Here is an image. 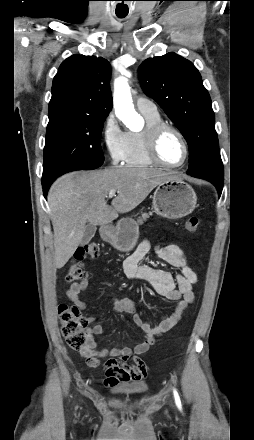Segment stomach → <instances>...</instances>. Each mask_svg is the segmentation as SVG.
<instances>
[{"mask_svg":"<svg viewBox=\"0 0 254 440\" xmlns=\"http://www.w3.org/2000/svg\"><path fill=\"white\" fill-rule=\"evenodd\" d=\"M197 196L193 188L179 178L161 182L153 195V209L157 215L179 219L196 208ZM104 240L121 252L132 250L139 237L137 224L131 218H122L116 227L102 234Z\"/></svg>","mask_w":254,"mask_h":440,"instance_id":"obj_1","label":"stomach"}]
</instances>
